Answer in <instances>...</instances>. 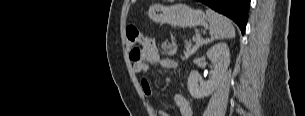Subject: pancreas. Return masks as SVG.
I'll list each match as a JSON object with an SVG mask.
<instances>
[{"mask_svg": "<svg viewBox=\"0 0 305 116\" xmlns=\"http://www.w3.org/2000/svg\"><path fill=\"white\" fill-rule=\"evenodd\" d=\"M194 41H198V39H197V37H195L194 38ZM199 46V44L198 45H196V46H192L191 44H190V42H185V48H186V51H184V55H185V57L186 58H188V57H190L192 54H194V52L197 50V47Z\"/></svg>", "mask_w": 305, "mask_h": 116, "instance_id": "1", "label": "pancreas"}]
</instances>
